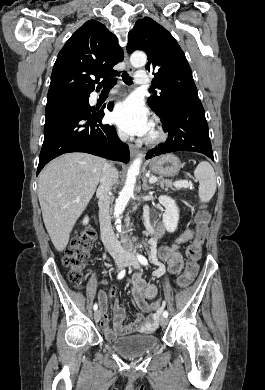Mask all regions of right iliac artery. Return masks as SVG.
<instances>
[{
	"instance_id": "obj_1",
	"label": "right iliac artery",
	"mask_w": 265,
	"mask_h": 390,
	"mask_svg": "<svg viewBox=\"0 0 265 390\" xmlns=\"http://www.w3.org/2000/svg\"><path fill=\"white\" fill-rule=\"evenodd\" d=\"M125 274H126V270L123 269L119 272V274L117 275V278L122 279L125 276ZM93 309H94V311H96L98 309V305L96 303L94 304Z\"/></svg>"
}]
</instances>
